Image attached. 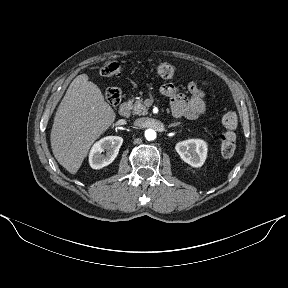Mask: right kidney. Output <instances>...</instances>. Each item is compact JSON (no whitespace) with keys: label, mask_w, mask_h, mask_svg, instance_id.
<instances>
[{"label":"right kidney","mask_w":288,"mask_h":288,"mask_svg":"<svg viewBox=\"0 0 288 288\" xmlns=\"http://www.w3.org/2000/svg\"><path fill=\"white\" fill-rule=\"evenodd\" d=\"M123 143V138L119 136H107L95 143L89 154V163L93 169H101L116 158ZM103 154L102 152H105Z\"/></svg>","instance_id":"right-kidney-1"}]
</instances>
